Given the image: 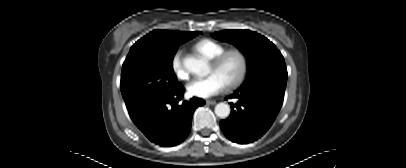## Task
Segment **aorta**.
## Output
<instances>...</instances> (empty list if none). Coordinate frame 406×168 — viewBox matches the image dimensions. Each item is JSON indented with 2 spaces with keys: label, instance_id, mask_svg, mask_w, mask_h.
<instances>
[{
  "label": "aorta",
  "instance_id": "1",
  "mask_svg": "<svg viewBox=\"0 0 406 168\" xmlns=\"http://www.w3.org/2000/svg\"><path fill=\"white\" fill-rule=\"evenodd\" d=\"M184 67L191 73L199 76H206L209 73L207 61L204 58L193 56L186 57L183 61ZM215 114L220 118H227L230 114V106L226 103H218L215 106Z\"/></svg>",
  "mask_w": 406,
  "mask_h": 168
}]
</instances>
